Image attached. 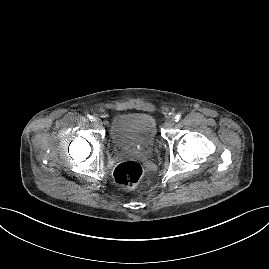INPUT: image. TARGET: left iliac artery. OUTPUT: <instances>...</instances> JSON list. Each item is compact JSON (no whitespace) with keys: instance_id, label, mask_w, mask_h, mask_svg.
I'll return each instance as SVG.
<instances>
[{"instance_id":"1","label":"left iliac artery","mask_w":269,"mask_h":269,"mask_svg":"<svg viewBox=\"0 0 269 269\" xmlns=\"http://www.w3.org/2000/svg\"><path fill=\"white\" fill-rule=\"evenodd\" d=\"M181 119V116L180 115H176L175 116V121L177 122V121H179Z\"/></svg>"}]
</instances>
